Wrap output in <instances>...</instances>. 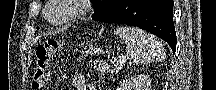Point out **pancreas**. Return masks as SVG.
<instances>
[{
  "instance_id": "cf45deb5",
  "label": "pancreas",
  "mask_w": 216,
  "mask_h": 90,
  "mask_svg": "<svg viewBox=\"0 0 216 90\" xmlns=\"http://www.w3.org/2000/svg\"><path fill=\"white\" fill-rule=\"evenodd\" d=\"M95 66L98 72H110V64H101V62H95Z\"/></svg>"
}]
</instances>
